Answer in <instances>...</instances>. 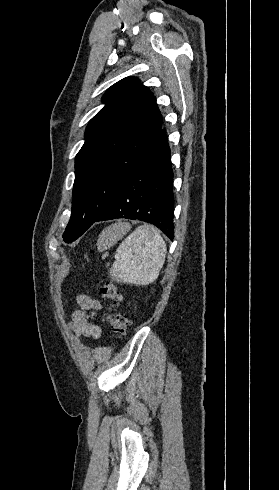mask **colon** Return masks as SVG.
<instances>
[{
	"label": "colon",
	"instance_id": "obj_1",
	"mask_svg": "<svg viewBox=\"0 0 279 490\" xmlns=\"http://www.w3.org/2000/svg\"><path fill=\"white\" fill-rule=\"evenodd\" d=\"M99 293L103 300L107 303H111L112 307H116L120 302V295L117 291L116 285L110 279H104L99 285ZM104 319L107 321L113 333L124 336L129 322L128 319L119 313H113L108 311L104 314Z\"/></svg>",
	"mask_w": 279,
	"mask_h": 490
}]
</instances>
